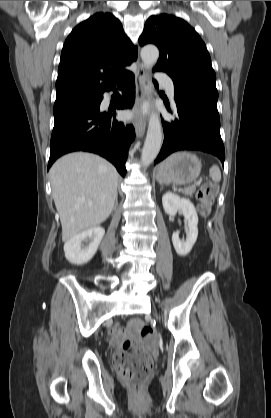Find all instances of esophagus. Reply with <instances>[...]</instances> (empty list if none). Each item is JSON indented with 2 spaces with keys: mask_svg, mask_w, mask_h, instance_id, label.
<instances>
[{
  "mask_svg": "<svg viewBox=\"0 0 271 418\" xmlns=\"http://www.w3.org/2000/svg\"><path fill=\"white\" fill-rule=\"evenodd\" d=\"M137 71L135 73V84H136V118L134 121V128L136 135L142 137L146 129V121L141 113L140 107L146 98V87H145V69L143 65L138 61Z\"/></svg>",
  "mask_w": 271,
  "mask_h": 418,
  "instance_id": "34e87169",
  "label": "esophagus"
}]
</instances>
